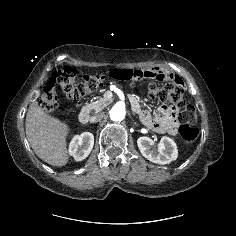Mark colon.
I'll return each mask as SVG.
<instances>
[{
	"instance_id": "obj_1",
	"label": "colon",
	"mask_w": 236,
	"mask_h": 236,
	"mask_svg": "<svg viewBox=\"0 0 236 236\" xmlns=\"http://www.w3.org/2000/svg\"><path fill=\"white\" fill-rule=\"evenodd\" d=\"M104 79L105 75L103 74L79 75L70 66L56 70L43 88L41 108L45 112H54L57 109V87L68 99L78 101L89 93L98 90L102 86ZM149 94L161 102H169L175 108H179L184 90L177 83L168 82L163 85H157L152 82L149 86ZM178 117L184 123L179 129L180 136L185 144L190 145L197 139L199 134L194 126L198 119L194 105H184Z\"/></svg>"
}]
</instances>
